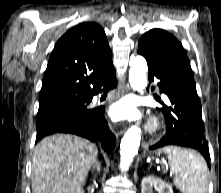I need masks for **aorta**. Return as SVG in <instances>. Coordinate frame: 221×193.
<instances>
[{"instance_id":"762f6f07","label":"aorta","mask_w":221,"mask_h":193,"mask_svg":"<svg viewBox=\"0 0 221 193\" xmlns=\"http://www.w3.org/2000/svg\"><path fill=\"white\" fill-rule=\"evenodd\" d=\"M129 82L133 90L144 93L147 87V62L144 57L138 55L130 58ZM141 140V130L137 126L131 127L124 135L120 144V168L128 170Z\"/></svg>"}]
</instances>
